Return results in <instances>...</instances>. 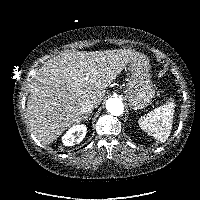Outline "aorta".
<instances>
[{"label":"aorta","mask_w":200,"mask_h":200,"mask_svg":"<svg viewBox=\"0 0 200 200\" xmlns=\"http://www.w3.org/2000/svg\"><path fill=\"white\" fill-rule=\"evenodd\" d=\"M106 109L111 115L120 116L124 112V105L117 97L109 98L106 102Z\"/></svg>","instance_id":"1"}]
</instances>
